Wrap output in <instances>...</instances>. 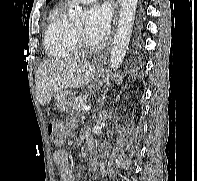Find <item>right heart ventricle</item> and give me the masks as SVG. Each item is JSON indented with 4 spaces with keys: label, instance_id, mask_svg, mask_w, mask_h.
<instances>
[{
    "label": "right heart ventricle",
    "instance_id": "right-heart-ventricle-1",
    "mask_svg": "<svg viewBox=\"0 0 197 181\" xmlns=\"http://www.w3.org/2000/svg\"><path fill=\"white\" fill-rule=\"evenodd\" d=\"M44 47L47 54L56 59L74 58L79 55V48L74 40V28L60 13H53L46 24Z\"/></svg>",
    "mask_w": 197,
    "mask_h": 181
}]
</instances>
